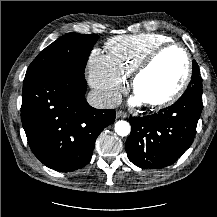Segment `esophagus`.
<instances>
[{
	"instance_id": "esophagus-1",
	"label": "esophagus",
	"mask_w": 217,
	"mask_h": 217,
	"mask_svg": "<svg viewBox=\"0 0 217 217\" xmlns=\"http://www.w3.org/2000/svg\"><path fill=\"white\" fill-rule=\"evenodd\" d=\"M116 117H117V118H126V117H127V114H126L124 111L118 110V111L116 112Z\"/></svg>"
}]
</instances>
